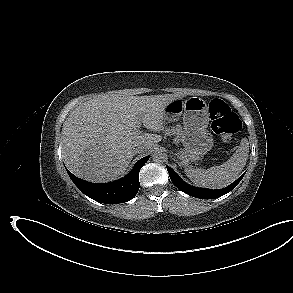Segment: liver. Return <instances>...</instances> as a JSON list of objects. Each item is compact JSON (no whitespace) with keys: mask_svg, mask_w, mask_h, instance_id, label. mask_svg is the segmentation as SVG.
I'll return each mask as SVG.
<instances>
[{"mask_svg":"<svg viewBox=\"0 0 293 293\" xmlns=\"http://www.w3.org/2000/svg\"><path fill=\"white\" fill-rule=\"evenodd\" d=\"M183 93L154 96L97 95L77 106L63 124V157L77 177L94 183L117 179L131 162L136 146L146 153L161 140L140 134L143 124L152 131L164 129V109Z\"/></svg>","mask_w":293,"mask_h":293,"instance_id":"1","label":"liver"}]
</instances>
